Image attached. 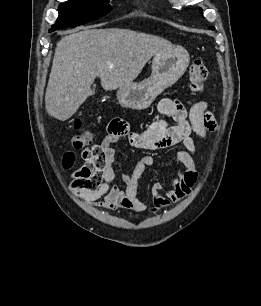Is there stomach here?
<instances>
[{
    "label": "stomach",
    "instance_id": "1",
    "mask_svg": "<svg viewBox=\"0 0 261 306\" xmlns=\"http://www.w3.org/2000/svg\"><path fill=\"white\" fill-rule=\"evenodd\" d=\"M190 57L186 49L172 45L153 57L151 76L141 82H132L117 90L122 107L143 110L148 108L163 90L172 86L184 74Z\"/></svg>",
    "mask_w": 261,
    "mask_h": 306
}]
</instances>
